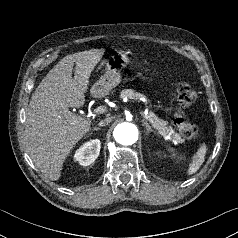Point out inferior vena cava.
Returning a JSON list of instances; mask_svg holds the SVG:
<instances>
[{"mask_svg":"<svg viewBox=\"0 0 238 238\" xmlns=\"http://www.w3.org/2000/svg\"><path fill=\"white\" fill-rule=\"evenodd\" d=\"M111 121V118H105L99 122V126H105Z\"/></svg>","mask_w":238,"mask_h":238,"instance_id":"inferior-vena-cava-1","label":"inferior vena cava"}]
</instances>
